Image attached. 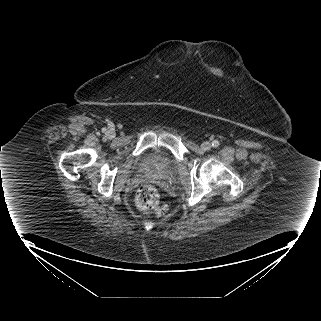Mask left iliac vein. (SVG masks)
<instances>
[{
  "label": "left iliac vein",
  "mask_w": 321,
  "mask_h": 321,
  "mask_svg": "<svg viewBox=\"0 0 321 321\" xmlns=\"http://www.w3.org/2000/svg\"><path fill=\"white\" fill-rule=\"evenodd\" d=\"M211 147H212V145H211V143L208 142V141L203 142L202 145H201V148H202L203 150H209Z\"/></svg>",
  "instance_id": "1"
}]
</instances>
